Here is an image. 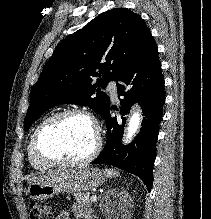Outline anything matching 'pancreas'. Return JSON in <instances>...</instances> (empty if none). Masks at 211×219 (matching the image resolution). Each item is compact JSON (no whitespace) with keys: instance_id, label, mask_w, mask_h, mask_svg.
Returning <instances> with one entry per match:
<instances>
[{"instance_id":"pancreas-1","label":"pancreas","mask_w":211,"mask_h":219,"mask_svg":"<svg viewBox=\"0 0 211 219\" xmlns=\"http://www.w3.org/2000/svg\"><path fill=\"white\" fill-rule=\"evenodd\" d=\"M75 200L76 203L81 206H88L92 202V199L89 196V194H76Z\"/></svg>"}]
</instances>
